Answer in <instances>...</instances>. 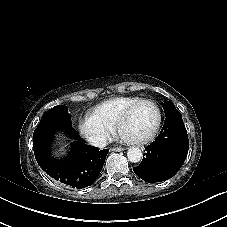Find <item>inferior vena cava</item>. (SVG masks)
Here are the masks:
<instances>
[{
	"mask_svg": "<svg viewBox=\"0 0 227 227\" xmlns=\"http://www.w3.org/2000/svg\"><path fill=\"white\" fill-rule=\"evenodd\" d=\"M92 144L98 148H104L107 145V140L105 137L94 136L91 140Z\"/></svg>",
	"mask_w": 227,
	"mask_h": 227,
	"instance_id": "obj_1",
	"label": "inferior vena cava"
}]
</instances>
